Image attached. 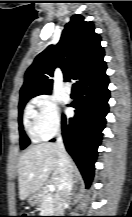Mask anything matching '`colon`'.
<instances>
[{"label":"colon","instance_id":"5ec220e1","mask_svg":"<svg viewBox=\"0 0 132 217\" xmlns=\"http://www.w3.org/2000/svg\"><path fill=\"white\" fill-rule=\"evenodd\" d=\"M20 217H34V216H29L28 214H23L22 216Z\"/></svg>","mask_w":132,"mask_h":217}]
</instances>
